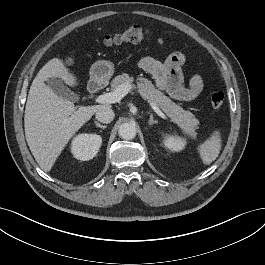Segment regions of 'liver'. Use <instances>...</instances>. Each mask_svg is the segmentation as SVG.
Returning a JSON list of instances; mask_svg holds the SVG:
<instances>
[{
	"mask_svg": "<svg viewBox=\"0 0 265 265\" xmlns=\"http://www.w3.org/2000/svg\"><path fill=\"white\" fill-rule=\"evenodd\" d=\"M61 78L71 87L77 77L62 59L49 60L34 78L26 102L24 128L26 141L40 168L52 169L73 135L101 108L109 105L76 107L45 84L50 78Z\"/></svg>",
	"mask_w": 265,
	"mask_h": 265,
	"instance_id": "obj_1",
	"label": "liver"
}]
</instances>
